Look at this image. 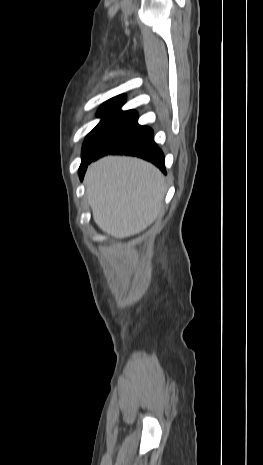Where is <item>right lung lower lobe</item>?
Segmentation results:
<instances>
[{
  "instance_id": "obj_1",
  "label": "right lung lower lobe",
  "mask_w": 263,
  "mask_h": 465,
  "mask_svg": "<svg viewBox=\"0 0 263 465\" xmlns=\"http://www.w3.org/2000/svg\"><path fill=\"white\" fill-rule=\"evenodd\" d=\"M137 113L131 111L106 137L96 154L79 168L83 179L87 165L108 154H125L141 157L166 173L163 152L153 140V130L137 123Z\"/></svg>"
}]
</instances>
